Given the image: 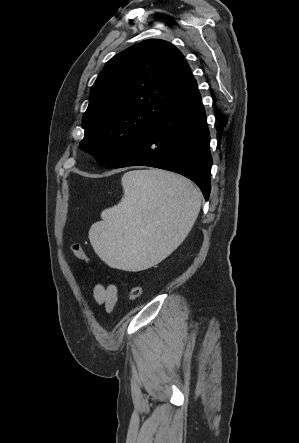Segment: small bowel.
Wrapping results in <instances>:
<instances>
[{
    "mask_svg": "<svg viewBox=\"0 0 299 443\" xmlns=\"http://www.w3.org/2000/svg\"><path fill=\"white\" fill-rule=\"evenodd\" d=\"M93 296L98 305L104 306L107 312H111L118 299V289L114 284L98 283L93 289Z\"/></svg>",
    "mask_w": 299,
    "mask_h": 443,
    "instance_id": "c3829d8e",
    "label": "small bowel"
}]
</instances>
